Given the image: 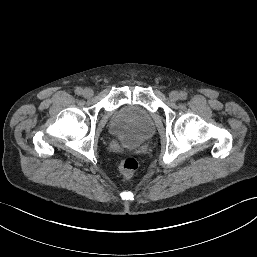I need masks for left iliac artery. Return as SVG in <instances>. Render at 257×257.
I'll return each mask as SVG.
<instances>
[{
	"mask_svg": "<svg viewBox=\"0 0 257 257\" xmlns=\"http://www.w3.org/2000/svg\"><path fill=\"white\" fill-rule=\"evenodd\" d=\"M179 97H180L181 100H185L187 98V93L186 92H181Z\"/></svg>",
	"mask_w": 257,
	"mask_h": 257,
	"instance_id": "44dca946",
	"label": "left iliac artery"
}]
</instances>
